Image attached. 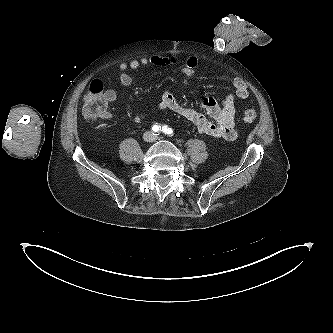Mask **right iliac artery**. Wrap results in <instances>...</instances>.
I'll list each match as a JSON object with an SVG mask.
<instances>
[{"label": "right iliac artery", "instance_id": "right-iliac-artery-1", "mask_svg": "<svg viewBox=\"0 0 333 333\" xmlns=\"http://www.w3.org/2000/svg\"><path fill=\"white\" fill-rule=\"evenodd\" d=\"M152 130H153L155 133H158V132L161 130V127L158 126V125H154V126L152 127Z\"/></svg>", "mask_w": 333, "mask_h": 333}]
</instances>
